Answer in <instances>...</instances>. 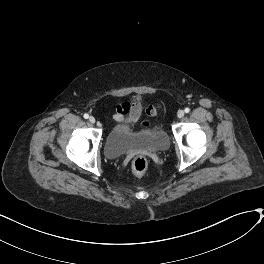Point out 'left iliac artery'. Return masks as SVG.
Wrapping results in <instances>:
<instances>
[{"label":"left iliac artery","mask_w":264,"mask_h":264,"mask_svg":"<svg viewBox=\"0 0 264 264\" xmlns=\"http://www.w3.org/2000/svg\"><path fill=\"white\" fill-rule=\"evenodd\" d=\"M186 113H189L190 112V109L187 107V108H185V110H184Z\"/></svg>","instance_id":"obj_1"}]
</instances>
